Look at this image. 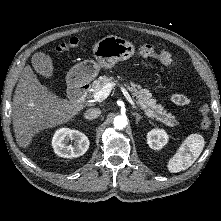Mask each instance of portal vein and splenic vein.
Masks as SVG:
<instances>
[{
	"label": "portal vein and splenic vein",
	"mask_w": 221,
	"mask_h": 221,
	"mask_svg": "<svg viewBox=\"0 0 221 221\" xmlns=\"http://www.w3.org/2000/svg\"><path fill=\"white\" fill-rule=\"evenodd\" d=\"M115 85H116L115 82L106 83L98 92L94 93L93 95L94 100L97 102H101L104 99H106ZM118 86L121 92L123 93V95L125 96V98L127 99V101L132 105L133 108L138 110V107L136 106L135 102L132 100L126 88L120 84H118Z\"/></svg>",
	"instance_id": "1"
}]
</instances>
